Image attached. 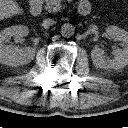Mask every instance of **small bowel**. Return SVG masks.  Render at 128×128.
I'll return each mask as SVG.
<instances>
[{"label": "small bowel", "mask_w": 128, "mask_h": 128, "mask_svg": "<svg viewBox=\"0 0 128 128\" xmlns=\"http://www.w3.org/2000/svg\"><path fill=\"white\" fill-rule=\"evenodd\" d=\"M81 2H86V3L90 4L88 0H81Z\"/></svg>", "instance_id": "obj_1"}]
</instances>
